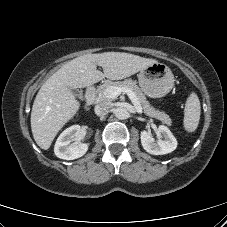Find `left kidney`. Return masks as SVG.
Wrapping results in <instances>:
<instances>
[{
  "label": "left kidney",
  "mask_w": 227,
  "mask_h": 227,
  "mask_svg": "<svg viewBox=\"0 0 227 227\" xmlns=\"http://www.w3.org/2000/svg\"><path fill=\"white\" fill-rule=\"evenodd\" d=\"M159 138L154 140L152 134L148 131L141 132V144L143 148L153 155H164L171 153L177 147V140L171 131L164 125L158 128Z\"/></svg>",
  "instance_id": "1"
}]
</instances>
